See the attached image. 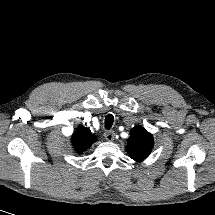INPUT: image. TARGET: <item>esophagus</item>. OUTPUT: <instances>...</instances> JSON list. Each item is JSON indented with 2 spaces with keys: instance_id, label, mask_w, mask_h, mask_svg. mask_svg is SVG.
I'll return each mask as SVG.
<instances>
[{
  "instance_id": "34e87169",
  "label": "esophagus",
  "mask_w": 215,
  "mask_h": 215,
  "mask_svg": "<svg viewBox=\"0 0 215 215\" xmlns=\"http://www.w3.org/2000/svg\"><path fill=\"white\" fill-rule=\"evenodd\" d=\"M104 137L107 141H113L115 138V133L113 131H106Z\"/></svg>"
}]
</instances>
